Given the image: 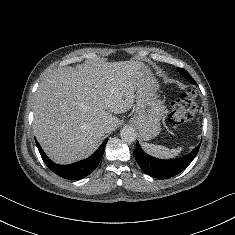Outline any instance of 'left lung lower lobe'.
Wrapping results in <instances>:
<instances>
[{"mask_svg":"<svg viewBox=\"0 0 235 235\" xmlns=\"http://www.w3.org/2000/svg\"><path fill=\"white\" fill-rule=\"evenodd\" d=\"M199 147L200 144L194 148L191 153L181 158L173 160H161L145 154L137 142L133 154L137 163L144 172L154 178L166 179L173 177L186 169L197 155Z\"/></svg>","mask_w":235,"mask_h":235,"instance_id":"left-lung-lower-lobe-1","label":"left lung lower lobe"}]
</instances>
